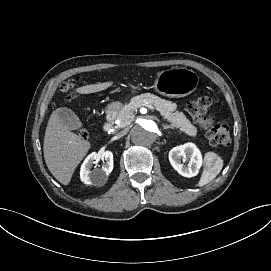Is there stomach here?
<instances>
[{
    "label": "stomach",
    "mask_w": 271,
    "mask_h": 271,
    "mask_svg": "<svg viewBox=\"0 0 271 271\" xmlns=\"http://www.w3.org/2000/svg\"><path fill=\"white\" fill-rule=\"evenodd\" d=\"M199 75L188 68L172 67L159 71L153 80V90L155 93L169 98H181L192 94L199 85ZM136 88L131 89L130 95L124 100H128L132 95L138 94ZM119 109L108 106V110Z\"/></svg>",
    "instance_id": "1"
}]
</instances>
